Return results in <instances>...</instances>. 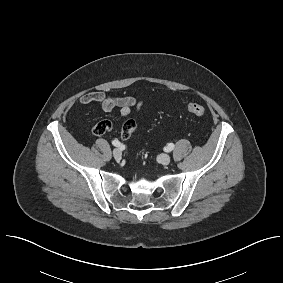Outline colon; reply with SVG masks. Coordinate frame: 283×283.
I'll use <instances>...</instances> for the list:
<instances>
[{"mask_svg": "<svg viewBox=\"0 0 283 283\" xmlns=\"http://www.w3.org/2000/svg\"><path fill=\"white\" fill-rule=\"evenodd\" d=\"M187 111L195 116H204L206 113V110L203 106L196 104V103H190L187 105ZM129 124L135 125L134 122H129ZM112 129L111 123L109 121H101L98 122L93 127V133L96 135H103L107 132H109Z\"/></svg>", "mask_w": 283, "mask_h": 283, "instance_id": "1", "label": "colon"}]
</instances>
